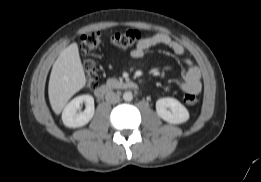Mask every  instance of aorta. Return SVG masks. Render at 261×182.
<instances>
[{
	"label": "aorta",
	"mask_w": 261,
	"mask_h": 182,
	"mask_svg": "<svg viewBox=\"0 0 261 182\" xmlns=\"http://www.w3.org/2000/svg\"><path fill=\"white\" fill-rule=\"evenodd\" d=\"M124 101L130 102L133 99L132 92L128 91L123 94Z\"/></svg>",
	"instance_id": "1"
}]
</instances>
